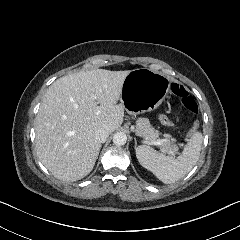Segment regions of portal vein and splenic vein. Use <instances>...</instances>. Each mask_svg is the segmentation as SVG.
I'll list each match as a JSON object with an SVG mask.
<instances>
[{
    "label": "portal vein and splenic vein",
    "mask_w": 240,
    "mask_h": 240,
    "mask_svg": "<svg viewBox=\"0 0 240 240\" xmlns=\"http://www.w3.org/2000/svg\"><path fill=\"white\" fill-rule=\"evenodd\" d=\"M91 101H95L96 95L93 91H90L89 93ZM144 143L149 144V145H160L162 143V140H151V141H144Z\"/></svg>",
    "instance_id": "18ae733b"
}]
</instances>
